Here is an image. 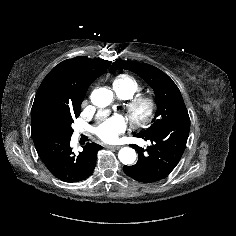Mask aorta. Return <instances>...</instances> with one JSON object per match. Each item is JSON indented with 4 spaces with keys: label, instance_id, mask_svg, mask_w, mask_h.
Returning <instances> with one entry per match:
<instances>
[{
    "label": "aorta",
    "instance_id": "obj_1",
    "mask_svg": "<svg viewBox=\"0 0 236 236\" xmlns=\"http://www.w3.org/2000/svg\"><path fill=\"white\" fill-rule=\"evenodd\" d=\"M90 98L95 106L100 108L107 107L112 102L113 92L107 88H98L91 93ZM118 158L123 164L129 165L136 160V152L133 148L124 147L120 149Z\"/></svg>",
    "mask_w": 236,
    "mask_h": 236
}]
</instances>
